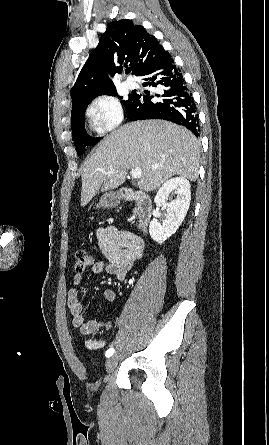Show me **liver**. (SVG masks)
<instances>
[{
	"instance_id": "obj_1",
	"label": "liver",
	"mask_w": 269,
	"mask_h": 445,
	"mask_svg": "<svg viewBox=\"0 0 269 445\" xmlns=\"http://www.w3.org/2000/svg\"><path fill=\"white\" fill-rule=\"evenodd\" d=\"M200 143L186 128L163 120L125 124L107 135L82 167L81 206L100 190L122 185L129 169L140 168L138 187L151 192L174 175L198 178ZM159 166L153 170L152 167ZM113 170L111 176L107 172Z\"/></svg>"
}]
</instances>
